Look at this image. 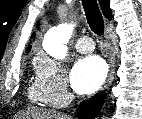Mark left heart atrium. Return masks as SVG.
Listing matches in <instances>:
<instances>
[{
  "instance_id": "left-heart-atrium-1",
  "label": "left heart atrium",
  "mask_w": 142,
  "mask_h": 119,
  "mask_svg": "<svg viewBox=\"0 0 142 119\" xmlns=\"http://www.w3.org/2000/svg\"><path fill=\"white\" fill-rule=\"evenodd\" d=\"M106 77L105 63L96 56L79 60L71 73L70 81L73 89L80 94L96 91Z\"/></svg>"
}]
</instances>
